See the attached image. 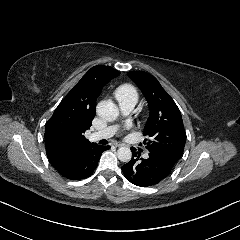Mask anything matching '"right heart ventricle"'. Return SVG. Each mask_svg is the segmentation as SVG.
<instances>
[{"label": "right heart ventricle", "instance_id": "1", "mask_svg": "<svg viewBox=\"0 0 240 240\" xmlns=\"http://www.w3.org/2000/svg\"><path fill=\"white\" fill-rule=\"evenodd\" d=\"M115 97L121 105L135 104L138 100V92L131 85H123L115 91Z\"/></svg>", "mask_w": 240, "mask_h": 240}]
</instances>
